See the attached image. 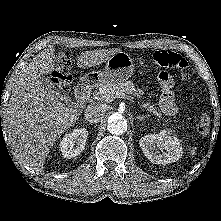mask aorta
Masks as SVG:
<instances>
[{
    "label": "aorta",
    "instance_id": "obj_1",
    "mask_svg": "<svg viewBox=\"0 0 221 221\" xmlns=\"http://www.w3.org/2000/svg\"><path fill=\"white\" fill-rule=\"evenodd\" d=\"M127 120L119 113L112 114L108 119L107 130L114 135H121L127 131Z\"/></svg>",
    "mask_w": 221,
    "mask_h": 221
}]
</instances>
